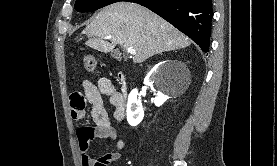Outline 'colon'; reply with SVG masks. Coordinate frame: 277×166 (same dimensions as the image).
Wrapping results in <instances>:
<instances>
[{
  "label": "colon",
  "instance_id": "1",
  "mask_svg": "<svg viewBox=\"0 0 277 166\" xmlns=\"http://www.w3.org/2000/svg\"><path fill=\"white\" fill-rule=\"evenodd\" d=\"M83 66L87 71H93L96 67V59L92 54H86L83 57Z\"/></svg>",
  "mask_w": 277,
  "mask_h": 166
}]
</instances>
